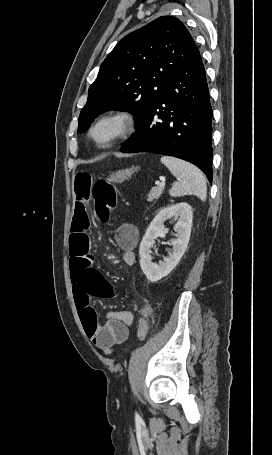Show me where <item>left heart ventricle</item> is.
<instances>
[{
    "instance_id": "1",
    "label": "left heart ventricle",
    "mask_w": 272,
    "mask_h": 455,
    "mask_svg": "<svg viewBox=\"0 0 272 455\" xmlns=\"http://www.w3.org/2000/svg\"><path fill=\"white\" fill-rule=\"evenodd\" d=\"M116 132V126L112 123H105L99 126L95 132L94 137L98 142H105L111 138Z\"/></svg>"
}]
</instances>
